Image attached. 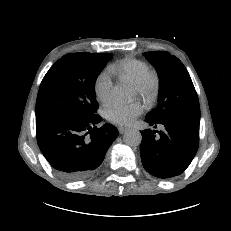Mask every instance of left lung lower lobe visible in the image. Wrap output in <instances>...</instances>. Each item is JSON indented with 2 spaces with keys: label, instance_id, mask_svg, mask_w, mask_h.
I'll return each mask as SVG.
<instances>
[{
  "label": "left lung lower lobe",
  "instance_id": "obj_1",
  "mask_svg": "<svg viewBox=\"0 0 231 231\" xmlns=\"http://www.w3.org/2000/svg\"><path fill=\"white\" fill-rule=\"evenodd\" d=\"M151 126L163 131H141V160L145 170L158 178H171L183 173L193 160L199 146L200 116L186 115L154 121ZM159 133V136H156Z\"/></svg>",
  "mask_w": 231,
  "mask_h": 231
}]
</instances>
